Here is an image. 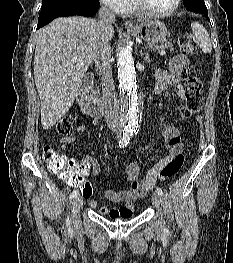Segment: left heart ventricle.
I'll return each instance as SVG.
<instances>
[{"instance_id":"obj_1","label":"left heart ventricle","mask_w":233,"mask_h":263,"mask_svg":"<svg viewBox=\"0 0 233 263\" xmlns=\"http://www.w3.org/2000/svg\"><path fill=\"white\" fill-rule=\"evenodd\" d=\"M142 4L153 12H164L170 9L174 0H141Z\"/></svg>"}]
</instances>
